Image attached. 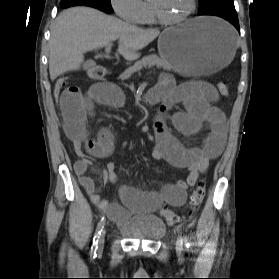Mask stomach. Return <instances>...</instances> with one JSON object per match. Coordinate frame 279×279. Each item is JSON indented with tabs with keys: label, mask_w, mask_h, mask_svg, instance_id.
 Returning a JSON list of instances; mask_svg holds the SVG:
<instances>
[{
	"label": "stomach",
	"mask_w": 279,
	"mask_h": 279,
	"mask_svg": "<svg viewBox=\"0 0 279 279\" xmlns=\"http://www.w3.org/2000/svg\"><path fill=\"white\" fill-rule=\"evenodd\" d=\"M158 51L181 75H211L228 69L236 51L233 29L225 22L199 17L164 30L158 39Z\"/></svg>",
	"instance_id": "0dacf381"
}]
</instances>
